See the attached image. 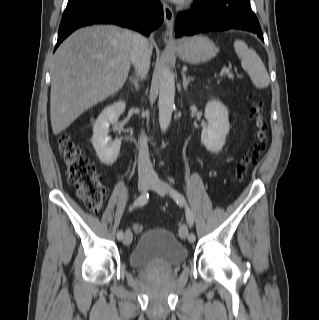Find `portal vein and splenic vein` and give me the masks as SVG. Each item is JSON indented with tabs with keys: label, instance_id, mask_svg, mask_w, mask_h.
I'll list each match as a JSON object with an SVG mask.
<instances>
[{
	"label": "portal vein and splenic vein",
	"instance_id": "obj_1",
	"mask_svg": "<svg viewBox=\"0 0 319 320\" xmlns=\"http://www.w3.org/2000/svg\"><path fill=\"white\" fill-rule=\"evenodd\" d=\"M225 73L227 74V76L229 78H233L234 77V74L233 73H230L229 70H225Z\"/></svg>",
	"mask_w": 319,
	"mask_h": 320
}]
</instances>
